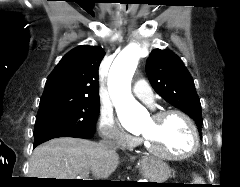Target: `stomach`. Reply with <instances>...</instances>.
Segmentation results:
<instances>
[{
	"label": "stomach",
	"instance_id": "obj_1",
	"mask_svg": "<svg viewBox=\"0 0 240 187\" xmlns=\"http://www.w3.org/2000/svg\"><path fill=\"white\" fill-rule=\"evenodd\" d=\"M141 170L143 175L150 180L149 182L164 183L171 175V169L168 164L157 158L144 159L141 164Z\"/></svg>",
	"mask_w": 240,
	"mask_h": 187
}]
</instances>
